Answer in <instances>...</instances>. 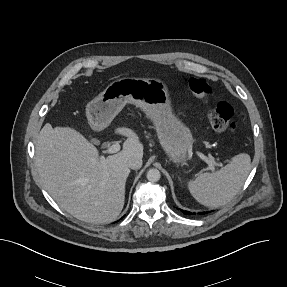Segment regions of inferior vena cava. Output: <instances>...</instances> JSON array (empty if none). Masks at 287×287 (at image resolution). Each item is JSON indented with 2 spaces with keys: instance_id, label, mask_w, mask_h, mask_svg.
I'll return each mask as SVG.
<instances>
[{
  "instance_id": "obj_1",
  "label": "inferior vena cava",
  "mask_w": 287,
  "mask_h": 287,
  "mask_svg": "<svg viewBox=\"0 0 287 287\" xmlns=\"http://www.w3.org/2000/svg\"><path fill=\"white\" fill-rule=\"evenodd\" d=\"M127 166L134 170L140 169L142 166V159L138 157H132L128 160Z\"/></svg>"
}]
</instances>
